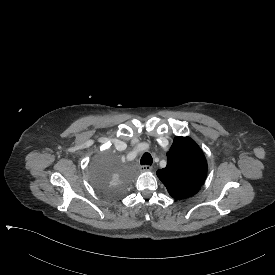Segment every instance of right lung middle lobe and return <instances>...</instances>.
<instances>
[{
  "instance_id": "right-lung-middle-lobe-1",
  "label": "right lung middle lobe",
  "mask_w": 275,
  "mask_h": 275,
  "mask_svg": "<svg viewBox=\"0 0 275 275\" xmlns=\"http://www.w3.org/2000/svg\"><path fill=\"white\" fill-rule=\"evenodd\" d=\"M91 180L103 198L118 199L130 182L129 166L118 154L103 153L92 165Z\"/></svg>"
}]
</instances>
